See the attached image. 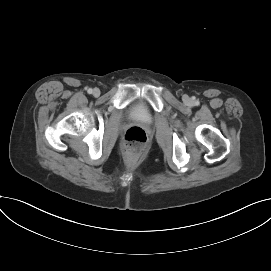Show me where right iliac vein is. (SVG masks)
I'll use <instances>...</instances> for the list:
<instances>
[{
	"label": "right iliac vein",
	"mask_w": 271,
	"mask_h": 271,
	"mask_svg": "<svg viewBox=\"0 0 271 271\" xmlns=\"http://www.w3.org/2000/svg\"><path fill=\"white\" fill-rule=\"evenodd\" d=\"M93 95H94L95 97H98V96L100 95V90H99L98 88H95V89L93 90Z\"/></svg>",
	"instance_id": "63e3f726"
}]
</instances>
